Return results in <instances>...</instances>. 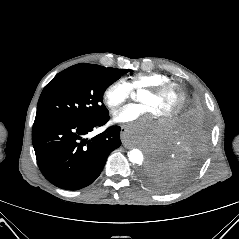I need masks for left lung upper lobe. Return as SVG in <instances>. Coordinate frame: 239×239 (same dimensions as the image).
<instances>
[{
  "label": "left lung upper lobe",
  "instance_id": "obj_1",
  "mask_svg": "<svg viewBox=\"0 0 239 239\" xmlns=\"http://www.w3.org/2000/svg\"><path fill=\"white\" fill-rule=\"evenodd\" d=\"M144 179L149 185H151L155 188H159V189L161 188L160 183L157 181V179L155 177L147 175V176H144Z\"/></svg>",
  "mask_w": 239,
  "mask_h": 239
}]
</instances>
